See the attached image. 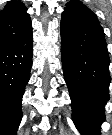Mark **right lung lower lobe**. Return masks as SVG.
Listing matches in <instances>:
<instances>
[{
    "label": "right lung lower lobe",
    "mask_w": 112,
    "mask_h": 135,
    "mask_svg": "<svg viewBox=\"0 0 112 135\" xmlns=\"http://www.w3.org/2000/svg\"><path fill=\"white\" fill-rule=\"evenodd\" d=\"M30 29L0 49V135H16L22 119L21 102L30 77L33 56Z\"/></svg>",
    "instance_id": "right-lung-lower-lobe-1"
}]
</instances>
